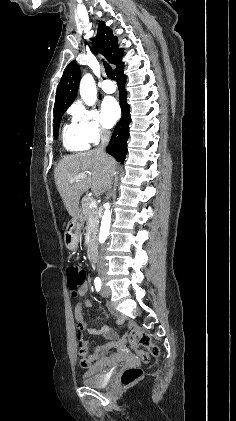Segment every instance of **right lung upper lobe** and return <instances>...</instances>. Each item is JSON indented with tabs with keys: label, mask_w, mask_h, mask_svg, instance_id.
Wrapping results in <instances>:
<instances>
[{
	"label": "right lung upper lobe",
	"mask_w": 236,
	"mask_h": 421,
	"mask_svg": "<svg viewBox=\"0 0 236 421\" xmlns=\"http://www.w3.org/2000/svg\"><path fill=\"white\" fill-rule=\"evenodd\" d=\"M117 42L118 39L113 36L112 30L104 22H100L97 35L93 39V50L102 53L110 63L116 65L115 73L124 65L121 61L124 53L122 49L118 48ZM80 78L79 66L72 61L64 70L60 80L54 110L69 107L72 104L77 94Z\"/></svg>",
	"instance_id": "obj_1"
}]
</instances>
